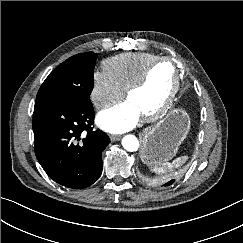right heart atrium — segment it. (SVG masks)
Instances as JSON below:
<instances>
[{
	"label": "right heart atrium",
	"instance_id": "obj_1",
	"mask_svg": "<svg viewBox=\"0 0 243 243\" xmlns=\"http://www.w3.org/2000/svg\"><path fill=\"white\" fill-rule=\"evenodd\" d=\"M123 93L124 90L105 69L94 72L90 98L97 109H102L118 100Z\"/></svg>",
	"mask_w": 243,
	"mask_h": 243
}]
</instances>
